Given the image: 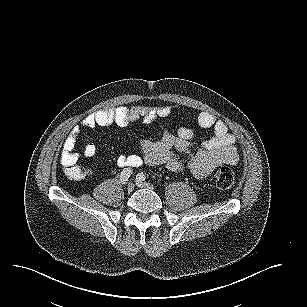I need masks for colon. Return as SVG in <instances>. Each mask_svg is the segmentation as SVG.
I'll return each instance as SVG.
<instances>
[{
    "mask_svg": "<svg viewBox=\"0 0 307 307\" xmlns=\"http://www.w3.org/2000/svg\"><path fill=\"white\" fill-rule=\"evenodd\" d=\"M90 170L85 169L76 163L66 167V174L75 180H80L90 175ZM213 181L215 185L222 190L231 188L235 183V176L233 171L228 167L218 168L213 174Z\"/></svg>",
    "mask_w": 307,
    "mask_h": 307,
    "instance_id": "1",
    "label": "colon"
}]
</instances>
